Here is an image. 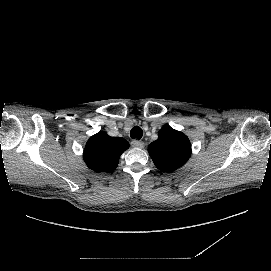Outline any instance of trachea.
I'll return each mask as SVG.
<instances>
[{
  "instance_id": "3493384b",
  "label": "trachea",
  "mask_w": 271,
  "mask_h": 271,
  "mask_svg": "<svg viewBox=\"0 0 271 271\" xmlns=\"http://www.w3.org/2000/svg\"><path fill=\"white\" fill-rule=\"evenodd\" d=\"M130 136L132 139H138L140 140L143 136V131L140 127L135 126L130 131Z\"/></svg>"
}]
</instances>
